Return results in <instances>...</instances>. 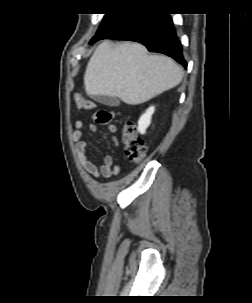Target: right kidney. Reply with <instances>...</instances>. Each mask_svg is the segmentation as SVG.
I'll list each match as a JSON object with an SVG mask.
<instances>
[{"label": "right kidney", "mask_w": 252, "mask_h": 303, "mask_svg": "<svg viewBox=\"0 0 252 303\" xmlns=\"http://www.w3.org/2000/svg\"><path fill=\"white\" fill-rule=\"evenodd\" d=\"M155 111L154 106H151L147 109V111L140 117L138 121V131L141 134H145L146 129L149 127L151 123L152 115Z\"/></svg>", "instance_id": "1"}]
</instances>
